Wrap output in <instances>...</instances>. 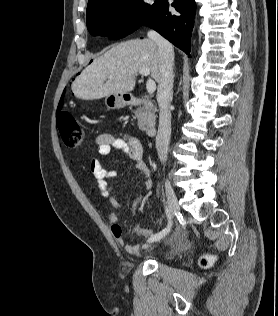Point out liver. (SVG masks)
I'll list each match as a JSON object with an SVG mask.
<instances>
[{
	"mask_svg": "<svg viewBox=\"0 0 278 316\" xmlns=\"http://www.w3.org/2000/svg\"><path fill=\"white\" fill-rule=\"evenodd\" d=\"M149 69L157 83L161 61L157 43L151 39L122 42L96 58L72 85L78 99L94 100L131 92L140 69Z\"/></svg>",
	"mask_w": 278,
	"mask_h": 316,
	"instance_id": "6515ba94",
	"label": "liver"
}]
</instances>
